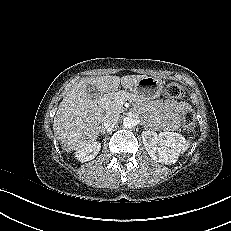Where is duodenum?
<instances>
[{
  "label": "duodenum",
  "instance_id": "1",
  "mask_svg": "<svg viewBox=\"0 0 231 231\" xmlns=\"http://www.w3.org/2000/svg\"><path fill=\"white\" fill-rule=\"evenodd\" d=\"M96 102H99V100H98V101H96ZM96 106L98 107V106H99V103H97V104H96Z\"/></svg>",
  "mask_w": 231,
  "mask_h": 231
}]
</instances>
